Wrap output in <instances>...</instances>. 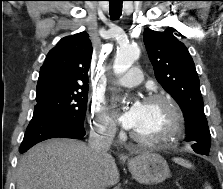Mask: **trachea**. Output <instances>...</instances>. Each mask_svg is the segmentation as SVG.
<instances>
[{
  "label": "trachea",
  "instance_id": "3493384b",
  "mask_svg": "<svg viewBox=\"0 0 223 189\" xmlns=\"http://www.w3.org/2000/svg\"><path fill=\"white\" fill-rule=\"evenodd\" d=\"M122 3L123 0H109V11L113 20L120 18L122 13Z\"/></svg>",
  "mask_w": 223,
  "mask_h": 189
}]
</instances>
